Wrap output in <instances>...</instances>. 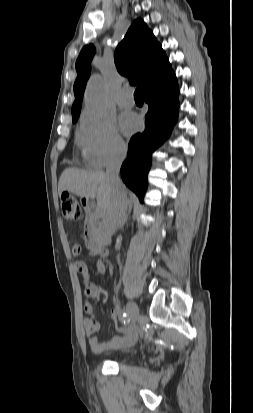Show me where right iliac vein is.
<instances>
[{"mask_svg":"<svg viewBox=\"0 0 253 413\" xmlns=\"http://www.w3.org/2000/svg\"><path fill=\"white\" fill-rule=\"evenodd\" d=\"M127 313H128L129 318L133 322L138 320V318L140 316L138 306L134 302H128L127 303Z\"/></svg>","mask_w":253,"mask_h":413,"instance_id":"63e3f726","label":"right iliac vein"}]
</instances>
